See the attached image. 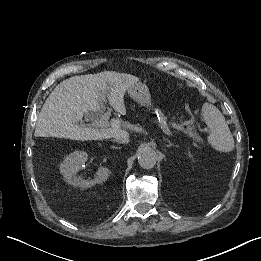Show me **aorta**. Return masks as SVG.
Segmentation results:
<instances>
[{"mask_svg":"<svg viewBox=\"0 0 261 261\" xmlns=\"http://www.w3.org/2000/svg\"><path fill=\"white\" fill-rule=\"evenodd\" d=\"M139 165L144 169H151L156 165V152L149 147L142 148L138 153Z\"/></svg>","mask_w":261,"mask_h":261,"instance_id":"obj_1","label":"aorta"}]
</instances>
